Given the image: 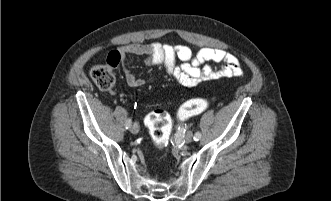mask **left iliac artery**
Masks as SVG:
<instances>
[{"label": "left iliac artery", "instance_id": "obj_1", "mask_svg": "<svg viewBox=\"0 0 331 201\" xmlns=\"http://www.w3.org/2000/svg\"><path fill=\"white\" fill-rule=\"evenodd\" d=\"M201 139V133L200 132H196L195 134H194V140L195 141H199Z\"/></svg>", "mask_w": 331, "mask_h": 201}]
</instances>
